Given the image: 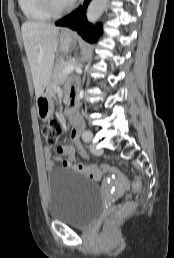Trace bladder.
Segmentation results:
<instances>
[{
	"label": "bladder",
	"mask_w": 174,
	"mask_h": 258,
	"mask_svg": "<svg viewBox=\"0 0 174 258\" xmlns=\"http://www.w3.org/2000/svg\"><path fill=\"white\" fill-rule=\"evenodd\" d=\"M48 214L51 219L76 227H87L101 214L104 200L101 188L71 169L49 172Z\"/></svg>",
	"instance_id": "bladder-1"
}]
</instances>
